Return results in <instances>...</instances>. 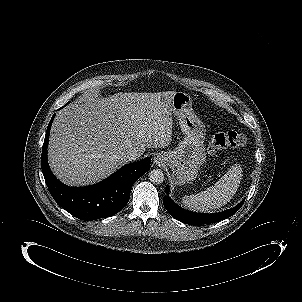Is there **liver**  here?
Returning <instances> with one entry per match:
<instances>
[{"label": "liver", "instance_id": "6515ba94", "mask_svg": "<svg viewBox=\"0 0 302 302\" xmlns=\"http://www.w3.org/2000/svg\"><path fill=\"white\" fill-rule=\"evenodd\" d=\"M175 91L116 93L74 102L56 115L48 161L52 172L71 186L99 182L127 164L131 150L170 145Z\"/></svg>", "mask_w": 302, "mask_h": 302}]
</instances>
